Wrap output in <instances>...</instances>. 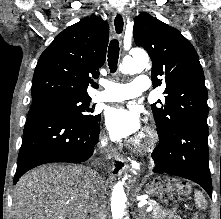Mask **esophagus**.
<instances>
[{
	"mask_svg": "<svg viewBox=\"0 0 221 219\" xmlns=\"http://www.w3.org/2000/svg\"><path fill=\"white\" fill-rule=\"evenodd\" d=\"M112 25L114 37L121 39L124 35L126 25L125 15L121 11L115 12L112 20Z\"/></svg>",
	"mask_w": 221,
	"mask_h": 219,
	"instance_id": "1",
	"label": "esophagus"
}]
</instances>
